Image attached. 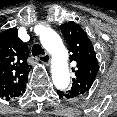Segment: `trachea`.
I'll return each instance as SVG.
<instances>
[{"label":"trachea","mask_w":117,"mask_h":117,"mask_svg":"<svg viewBox=\"0 0 117 117\" xmlns=\"http://www.w3.org/2000/svg\"><path fill=\"white\" fill-rule=\"evenodd\" d=\"M32 55L38 56V55H44V50L39 44H34L32 47Z\"/></svg>","instance_id":"3493384b"}]
</instances>
